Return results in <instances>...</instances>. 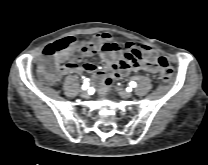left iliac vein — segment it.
<instances>
[{
  "label": "left iliac vein",
  "instance_id": "1",
  "mask_svg": "<svg viewBox=\"0 0 208 165\" xmlns=\"http://www.w3.org/2000/svg\"><path fill=\"white\" fill-rule=\"evenodd\" d=\"M118 92H119V95L122 97V98H125V99H128V98H131L132 97V93L127 91V90H124L122 88H118Z\"/></svg>",
  "mask_w": 208,
  "mask_h": 165
}]
</instances>
